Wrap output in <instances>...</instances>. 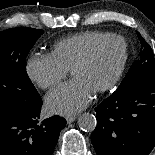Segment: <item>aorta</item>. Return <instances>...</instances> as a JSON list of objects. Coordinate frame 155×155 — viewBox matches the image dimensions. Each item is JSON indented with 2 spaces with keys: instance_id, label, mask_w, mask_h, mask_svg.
<instances>
[{
  "instance_id": "obj_1",
  "label": "aorta",
  "mask_w": 155,
  "mask_h": 155,
  "mask_svg": "<svg viewBox=\"0 0 155 155\" xmlns=\"http://www.w3.org/2000/svg\"><path fill=\"white\" fill-rule=\"evenodd\" d=\"M78 126L81 130L86 132H92L97 126L96 117L91 113H83L78 118Z\"/></svg>"
}]
</instances>
